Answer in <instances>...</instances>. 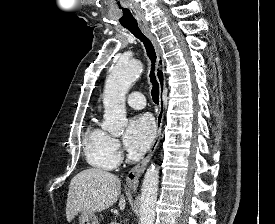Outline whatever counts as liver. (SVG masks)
<instances>
[{"instance_id": "liver-1", "label": "liver", "mask_w": 275, "mask_h": 224, "mask_svg": "<svg viewBox=\"0 0 275 224\" xmlns=\"http://www.w3.org/2000/svg\"><path fill=\"white\" fill-rule=\"evenodd\" d=\"M119 199V208L124 210L126 201L121 195L118 176L98 168H90L75 175L69 185L66 218L68 222L81 212H101Z\"/></svg>"}]
</instances>
